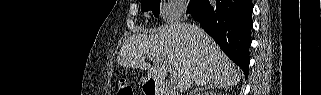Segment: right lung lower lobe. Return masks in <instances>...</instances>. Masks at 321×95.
I'll return each mask as SVG.
<instances>
[{
    "mask_svg": "<svg viewBox=\"0 0 321 95\" xmlns=\"http://www.w3.org/2000/svg\"><path fill=\"white\" fill-rule=\"evenodd\" d=\"M253 4L251 0H202L192 17L248 77Z\"/></svg>",
    "mask_w": 321,
    "mask_h": 95,
    "instance_id": "right-lung-lower-lobe-1",
    "label": "right lung lower lobe"
}]
</instances>
